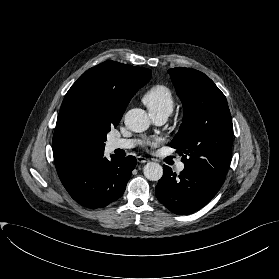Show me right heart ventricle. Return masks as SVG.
I'll return each instance as SVG.
<instances>
[{"mask_svg":"<svg viewBox=\"0 0 279 279\" xmlns=\"http://www.w3.org/2000/svg\"><path fill=\"white\" fill-rule=\"evenodd\" d=\"M143 102L151 115L158 113L170 114L174 106L171 90L163 84L153 85L143 96Z\"/></svg>","mask_w":279,"mask_h":279,"instance_id":"obj_1","label":"right heart ventricle"}]
</instances>
